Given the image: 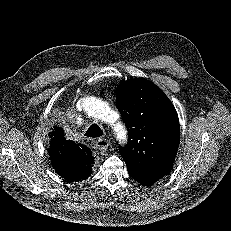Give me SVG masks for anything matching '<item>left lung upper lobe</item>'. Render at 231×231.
<instances>
[{
  "label": "left lung upper lobe",
  "mask_w": 231,
  "mask_h": 231,
  "mask_svg": "<svg viewBox=\"0 0 231 231\" xmlns=\"http://www.w3.org/2000/svg\"><path fill=\"white\" fill-rule=\"evenodd\" d=\"M116 106L127 125L129 142L120 147L128 171L169 173L180 141L177 112L155 84L145 78L121 82Z\"/></svg>",
  "instance_id": "1"
}]
</instances>
